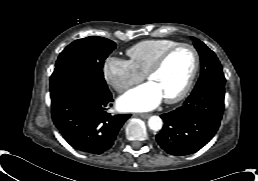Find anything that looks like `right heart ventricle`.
Listing matches in <instances>:
<instances>
[{
	"label": "right heart ventricle",
	"instance_id": "obj_1",
	"mask_svg": "<svg viewBox=\"0 0 258 181\" xmlns=\"http://www.w3.org/2000/svg\"><path fill=\"white\" fill-rule=\"evenodd\" d=\"M178 44L171 39H149L138 42L127 50L130 64L142 75H146L157 58L168 48Z\"/></svg>",
	"mask_w": 258,
	"mask_h": 181
}]
</instances>
